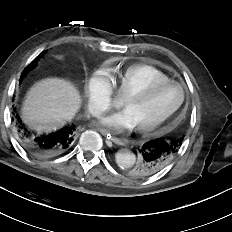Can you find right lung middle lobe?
<instances>
[{
    "label": "right lung middle lobe",
    "instance_id": "right-lung-middle-lobe-1",
    "mask_svg": "<svg viewBox=\"0 0 232 232\" xmlns=\"http://www.w3.org/2000/svg\"><path fill=\"white\" fill-rule=\"evenodd\" d=\"M42 55H43V53H41L39 56H37V57L25 68V70H24V71L22 72V74H21V79H20V81H22V80L26 77L27 73H28L30 70H32L33 68H35L37 62L40 60V58L42 57Z\"/></svg>",
    "mask_w": 232,
    "mask_h": 232
}]
</instances>
